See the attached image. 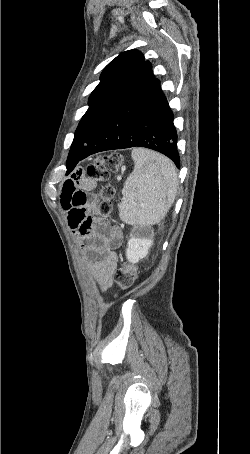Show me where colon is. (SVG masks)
I'll return each mask as SVG.
<instances>
[{"mask_svg":"<svg viewBox=\"0 0 250 454\" xmlns=\"http://www.w3.org/2000/svg\"><path fill=\"white\" fill-rule=\"evenodd\" d=\"M122 164V155L114 152L109 155L99 157L95 163L88 166L86 174L89 178L107 182L110 175L117 172ZM114 195V188L110 184H106L101 188V201L92 211V214L97 219H107L111 212V199ZM114 280L121 289L131 287L138 278V267L130 262H125L114 273Z\"/></svg>","mask_w":250,"mask_h":454,"instance_id":"5ec220e1","label":"colon"}]
</instances>
